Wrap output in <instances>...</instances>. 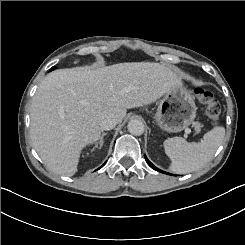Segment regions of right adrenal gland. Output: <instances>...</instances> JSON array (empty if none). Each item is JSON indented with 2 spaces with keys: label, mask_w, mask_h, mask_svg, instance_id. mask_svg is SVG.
<instances>
[{
  "label": "right adrenal gland",
  "mask_w": 245,
  "mask_h": 245,
  "mask_svg": "<svg viewBox=\"0 0 245 245\" xmlns=\"http://www.w3.org/2000/svg\"><path fill=\"white\" fill-rule=\"evenodd\" d=\"M106 135H107V133H105V132L102 133L100 140L98 142H95V146L93 147L92 151L95 148L101 149V147L103 146V143H104V136H106Z\"/></svg>",
  "instance_id": "1"
}]
</instances>
